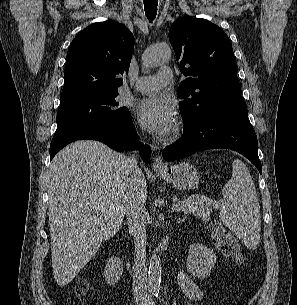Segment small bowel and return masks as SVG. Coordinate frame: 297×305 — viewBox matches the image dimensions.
<instances>
[{
    "instance_id": "1",
    "label": "small bowel",
    "mask_w": 297,
    "mask_h": 305,
    "mask_svg": "<svg viewBox=\"0 0 297 305\" xmlns=\"http://www.w3.org/2000/svg\"><path fill=\"white\" fill-rule=\"evenodd\" d=\"M178 282L183 293L192 301H200L204 297L203 289L186 272H179Z\"/></svg>"
}]
</instances>
